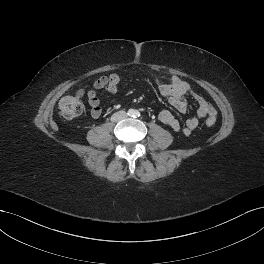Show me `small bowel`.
<instances>
[{"instance_id": "small-bowel-1", "label": "small bowel", "mask_w": 264, "mask_h": 264, "mask_svg": "<svg viewBox=\"0 0 264 264\" xmlns=\"http://www.w3.org/2000/svg\"><path fill=\"white\" fill-rule=\"evenodd\" d=\"M152 80L158 86L160 94L165 97L176 110L180 112H186L188 110L189 102L187 97H191L198 106L196 116L187 119L183 125L170 111L163 110L159 113V121L163 125L170 127L174 132L190 136L192 131L197 128L202 118H215L216 110L212 104L203 96L195 93L191 86L178 76L170 75L169 77H161L154 74L152 75ZM118 82L119 77L117 74H112L110 77L103 76L95 81L93 89L87 92L88 103L91 108L90 114L93 118L97 119L102 115L100 100L96 90L106 87L109 91L114 92L116 88L113 87V84L118 85Z\"/></svg>"}]
</instances>
